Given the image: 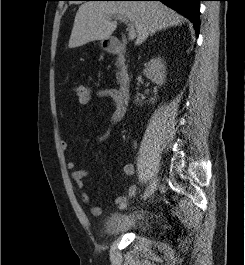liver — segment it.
Listing matches in <instances>:
<instances>
[{
	"label": "liver",
	"mask_w": 245,
	"mask_h": 265,
	"mask_svg": "<svg viewBox=\"0 0 245 265\" xmlns=\"http://www.w3.org/2000/svg\"><path fill=\"white\" fill-rule=\"evenodd\" d=\"M116 15L126 17L135 26L136 45L157 31L184 23L181 15L160 2L87 1L76 13L69 48L109 39L117 28V22L111 21Z\"/></svg>",
	"instance_id": "liver-1"
}]
</instances>
